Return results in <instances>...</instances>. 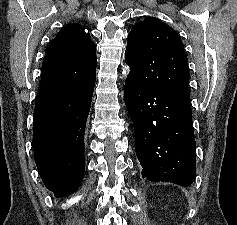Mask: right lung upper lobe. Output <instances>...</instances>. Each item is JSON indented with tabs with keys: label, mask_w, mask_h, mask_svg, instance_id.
<instances>
[{
	"label": "right lung upper lobe",
	"mask_w": 237,
	"mask_h": 225,
	"mask_svg": "<svg viewBox=\"0 0 237 225\" xmlns=\"http://www.w3.org/2000/svg\"><path fill=\"white\" fill-rule=\"evenodd\" d=\"M80 24L62 28L50 42L37 95L83 87L96 79V47Z\"/></svg>",
	"instance_id": "obj_1"
}]
</instances>
